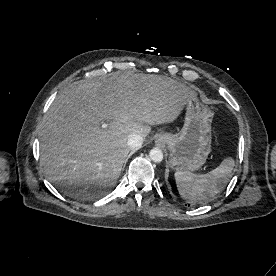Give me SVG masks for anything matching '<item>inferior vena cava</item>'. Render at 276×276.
<instances>
[{
	"instance_id": "obj_1",
	"label": "inferior vena cava",
	"mask_w": 276,
	"mask_h": 276,
	"mask_svg": "<svg viewBox=\"0 0 276 276\" xmlns=\"http://www.w3.org/2000/svg\"><path fill=\"white\" fill-rule=\"evenodd\" d=\"M143 143V137L140 134H132L127 141L131 149L140 148Z\"/></svg>"
}]
</instances>
